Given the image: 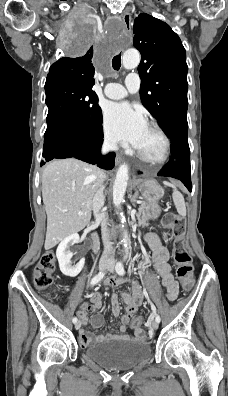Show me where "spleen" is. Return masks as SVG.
Returning <instances> with one entry per match:
<instances>
[{
    "label": "spleen",
    "instance_id": "obj_1",
    "mask_svg": "<svg viewBox=\"0 0 228 396\" xmlns=\"http://www.w3.org/2000/svg\"><path fill=\"white\" fill-rule=\"evenodd\" d=\"M170 186L173 187V201L176 206L177 212L185 216L186 215V206H185V200L183 195L176 189V187L172 184H169Z\"/></svg>",
    "mask_w": 228,
    "mask_h": 396
}]
</instances>
